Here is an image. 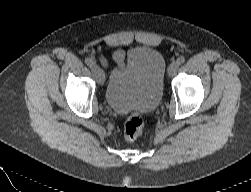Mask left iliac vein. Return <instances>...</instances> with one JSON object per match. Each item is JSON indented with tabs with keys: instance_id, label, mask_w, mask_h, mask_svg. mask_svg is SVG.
<instances>
[{
	"instance_id": "4c4485c4",
	"label": "left iliac vein",
	"mask_w": 251,
	"mask_h": 192,
	"mask_svg": "<svg viewBox=\"0 0 251 192\" xmlns=\"http://www.w3.org/2000/svg\"><path fill=\"white\" fill-rule=\"evenodd\" d=\"M178 64L177 62H173L170 64L169 68H168V74L169 76H173L176 74L177 70H178Z\"/></svg>"
}]
</instances>
